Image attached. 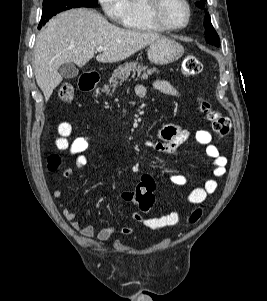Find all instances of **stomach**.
<instances>
[{
	"instance_id": "1",
	"label": "stomach",
	"mask_w": 267,
	"mask_h": 301,
	"mask_svg": "<svg viewBox=\"0 0 267 301\" xmlns=\"http://www.w3.org/2000/svg\"><path fill=\"white\" fill-rule=\"evenodd\" d=\"M183 54L184 48L180 43L165 37L155 40L147 49L148 59L156 65L175 62Z\"/></svg>"
}]
</instances>
